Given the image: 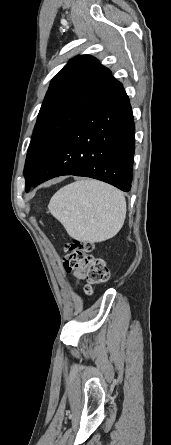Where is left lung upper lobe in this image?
<instances>
[{"mask_svg":"<svg viewBox=\"0 0 171 445\" xmlns=\"http://www.w3.org/2000/svg\"><path fill=\"white\" fill-rule=\"evenodd\" d=\"M121 86L94 57L71 59L52 79L39 111L25 161L26 181L33 178L69 129Z\"/></svg>","mask_w":171,"mask_h":445,"instance_id":"5c2ea615","label":"left lung upper lobe"}]
</instances>
